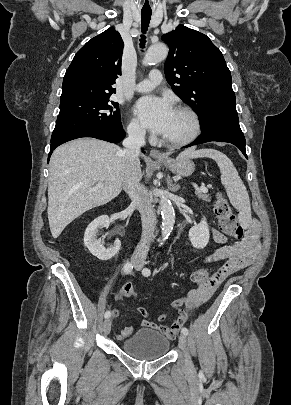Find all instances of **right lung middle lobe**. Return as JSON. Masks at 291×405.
<instances>
[{
  "instance_id": "1",
  "label": "right lung middle lobe",
  "mask_w": 291,
  "mask_h": 405,
  "mask_svg": "<svg viewBox=\"0 0 291 405\" xmlns=\"http://www.w3.org/2000/svg\"><path fill=\"white\" fill-rule=\"evenodd\" d=\"M118 107V103L110 100V95L60 101L51 142L80 131L121 128Z\"/></svg>"
}]
</instances>
